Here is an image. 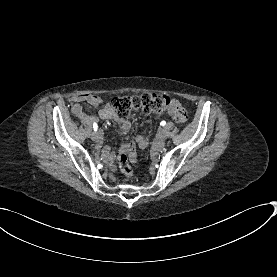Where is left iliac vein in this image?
<instances>
[{
  "mask_svg": "<svg viewBox=\"0 0 277 277\" xmlns=\"http://www.w3.org/2000/svg\"><path fill=\"white\" fill-rule=\"evenodd\" d=\"M166 139V133L164 132V131H162L161 133H160V140L161 141H164Z\"/></svg>",
  "mask_w": 277,
  "mask_h": 277,
  "instance_id": "left-iliac-vein-1",
  "label": "left iliac vein"
}]
</instances>
